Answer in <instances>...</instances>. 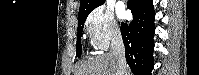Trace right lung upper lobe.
<instances>
[{
	"label": "right lung upper lobe",
	"mask_w": 199,
	"mask_h": 75,
	"mask_svg": "<svg viewBox=\"0 0 199 75\" xmlns=\"http://www.w3.org/2000/svg\"><path fill=\"white\" fill-rule=\"evenodd\" d=\"M104 2L105 0H81L78 17L90 13L94 8L102 5Z\"/></svg>",
	"instance_id": "right-lung-upper-lobe-1"
}]
</instances>
